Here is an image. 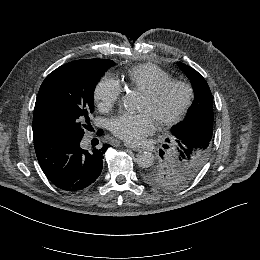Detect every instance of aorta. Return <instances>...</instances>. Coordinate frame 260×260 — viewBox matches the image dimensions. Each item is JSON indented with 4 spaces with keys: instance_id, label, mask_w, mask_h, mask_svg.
Segmentation results:
<instances>
[{
    "instance_id": "aorta-1",
    "label": "aorta",
    "mask_w": 260,
    "mask_h": 260,
    "mask_svg": "<svg viewBox=\"0 0 260 260\" xmlns=\"http://www.w3.org/2000/svg\"><path fill=\"white\" fill-rule=\"evenodd\" d=\"M123 105L128 111L135 110L137 108L136 99L131 95L125 96ZM153 162L154 156L151 152L142 151L136 155V163L139 167L148 168L153 164Z\"/></svg>"
}]
</instances>
